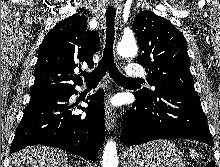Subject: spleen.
Wrapping results in <instances>:
<instances>
[{
	"instance_id": "obj_1",
	"label": "spleen",
	"mask_w": 220,
	"mask_h": 167,
	"mask_svg": "<svg viewBox=\"0 0 220 167\" xmlns=\"http://www.w3.org/2000/svg\"><path fill=\"white\" fill-rule=\"evenodd\" d=\"M190 154H191L192 158H197L198 157V154L193 149L190 150Z\"/></svg>"
}]
</instances>
